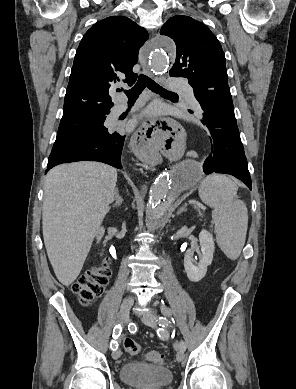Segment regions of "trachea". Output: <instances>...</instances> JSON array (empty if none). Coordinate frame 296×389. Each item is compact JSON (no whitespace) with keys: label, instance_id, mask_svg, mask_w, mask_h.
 I'll return each mask as SVG.
<instances>
[{"label":"trachea","instance_id":"1","mask_svg":"<svg viewBox=\"0 0 296 389\" xmlns=\"http://www.w3.org/2000/svg\"><path fill=\"white\" fill-rule=\"evenodd\" d=\"M145 87L150 89L152 92L161 95H176L175 93L164 89L155 81H153L151 78L143 74L139 76L138 81L131 89L125 90L124 92L127 95L128 100H136L139 97V95L142 93V91L145 89ZM118 91L121 90L119 89Z\"/></svg>","mask_w":296,"mask_h":389}]
</instances>
